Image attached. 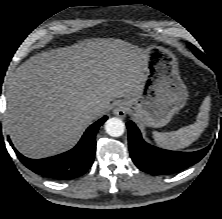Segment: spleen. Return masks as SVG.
<instances>
[{
  "instance_id": "1",
  "label": "spleen",
  "mask_w": 222,
  "mask_h": 219,
  "mask_svg": "<svg viewBox=\"0 0 222 219\" xmlns=\"http://www.w3.org/2000/svg\"><path fill=\"white\" fill-rule=\"evenodd\" d=\"M210 105V97L207 96L200 106L196 121L189 126L165 133L154 131L153 138L155 142L159 146L170 150H179L191 145L208 126Z\"/></svg>"
}]
</instances>
